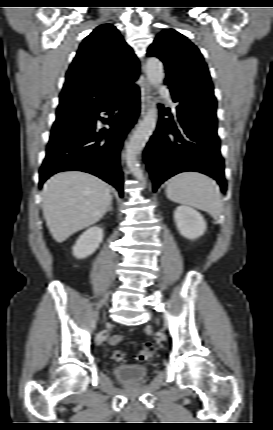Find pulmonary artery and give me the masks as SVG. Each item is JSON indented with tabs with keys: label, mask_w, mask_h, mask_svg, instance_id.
Masks as SVG:
<instances>
[{
	"label": "pulmonary artery",
	"mask_w": 273,
	"mask_h": 430,
	"mask_svg": "<svg viewBox=\"0 0 273 430\" xmlns=\"http://www.w3.org/2000/svg\"><path fill=\"white\" fill-rule=\"evenodd\" d=\"M159 94H160L162 97H165V98H167V99H170V92H169V90H168L165 86H160V87H159ZM171 105H172V107H173V110H174V111H176V110H175V103L171 102Z\"/></svg>",
	"instance_id": "e3ab8cb5"
}]
</instances>
